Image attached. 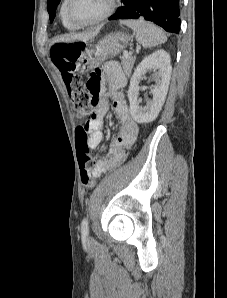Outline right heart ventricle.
I'll return each instance as SVG.
<instances>
[{
    "instance_id": "right-heart-ventricle-1",
    "label": "right heart ventricle",
    "mask_w": 227,
    "mask_h": 298,
    "mask_svg": "<svg viewBox=\"0 0 227 298\" xmlns=\"http://www.w3.org/2000/svg\"><path fill=\"white\" fill-rule=\"evenodd\" d=\"M65 5H66V0H64L61 4V7H60V18H61V21L64 25L65 28L67 29H75L76 27L74 25H72L68 19L66 18V14H65Z\"/></svg>"
}]
</instances>
